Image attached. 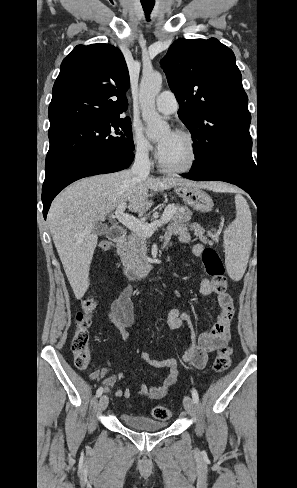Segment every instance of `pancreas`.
Masks as SVG:
<instances>
[{
	"label": "pancreas",
	"mask_w": 297,
	"mask_h": 488,
	"mask_svg": "<svg viewBox=\"0 0 297 488\" xmlns=\"http://www.w3.org/2000/svg\"><path fill=\"white\" fill-rule=\"evenodd\" d=\"M192 212L185 207L173 205V211L170 213V220L177 223H186L191 219ZM213 236V235H212ZM117 252L121 261L131 270H136L145 265L147 253V237L132 232L126 240L117 245Z\"/></svg>",
	"instance_id": "pancreas-1"
}]
</instances>
